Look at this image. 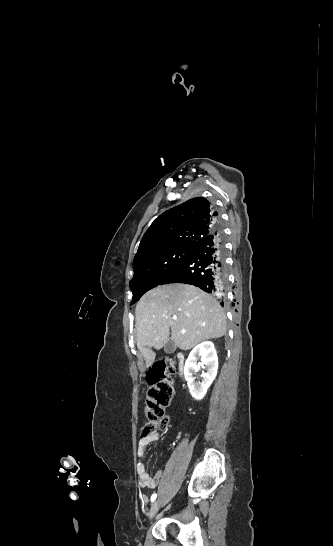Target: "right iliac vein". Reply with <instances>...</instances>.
<instances>
[{
    "label": "right iliac vein",
    "instance_id": "63e3f726",
    "mask_svg": "<svg viewBox=\"0 0 333 546\" xmlns=\"http://www.w3.org/2000/svg\"><path fill=\"white\" fill-rule=\"evenodd\" d=\"M159 507H160V500L157 499V500L154 501V503H153L152 506H151V509H150L149 515H148V516H149V519H152V518L155 516V514H156V513L158 512V510H159Z\"/></svg>",
    "mask_w": 333,
    "mask_h": 546
}]
</instances>
